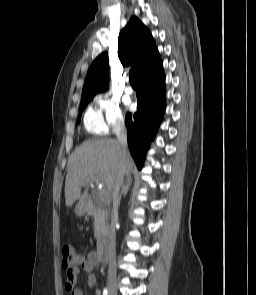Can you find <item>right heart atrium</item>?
Returning a JSON list of instances; mask_svg holds the SVG:
<instances>
[{
    "instance_id": "obj_1",
    "label": "right heart atrium",
    "mask_w": 256,
    "mask_h": 295,
    "mask_svg": "<svg viewBox=\"0 0 256 295\" xmlns=\"http://www.w3.org/2000/svg\"><path fill=\"white\" fill-rule=\"evenodd\" d=\"M94 101L105 132L115 131L124 125V114L119 101L110 93L99 94Z\"/></svg>"
}]
</instances>
